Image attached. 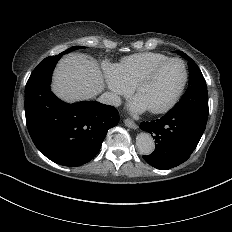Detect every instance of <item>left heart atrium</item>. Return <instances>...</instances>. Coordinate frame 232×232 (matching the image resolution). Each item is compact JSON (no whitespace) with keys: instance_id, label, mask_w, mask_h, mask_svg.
Instances as JSON below:
<instances>
[{"instance_id":"left-heart-atrium-1","label":"left heart atrium","mask_w":232,"mask_h":232,"mask_svg":"<svg viewBox=\"0 0 232 232\" xmlns=\"http://www.w3.org/2000/svg\"><path fill=\"white\" fill-rule=\"evenodd\" d=\"M130 110L133 113H143L149 109L139 98L135 96L130 104Z\"/></svg>"}]
</instances>
